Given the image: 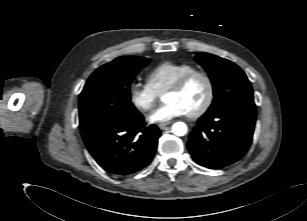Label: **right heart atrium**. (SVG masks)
Segmentation results:
<instances>
[{"label":"right heart atrium","instance_id":"1","mask_svg":"<svg viewBox=\"0 0 307 221\" xmlns=\"http://www.w3.org/2000/svg\"><path fill=\"white\" fill-rule=\"evenodd\" d=\"M158 97L159 95L149 84L134 82L129 87L130 102L139 111H150L156 104Z\"/></svg>","mask_w":307,"mask_h":221}]
</instances>
